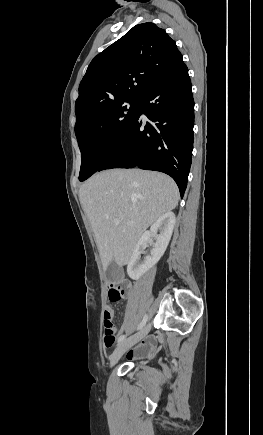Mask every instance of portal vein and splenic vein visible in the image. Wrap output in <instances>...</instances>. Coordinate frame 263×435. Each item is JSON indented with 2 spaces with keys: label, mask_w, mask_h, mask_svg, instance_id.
Returning a JSON list of instances; mask_svg holds the SVG:
<instances>
[{
  "label": "portal vein and splenic vein",
  "mask_w": 263,
  "mask_h": 435,
  "mask_svg": "<svg viewBox=\"0 0 263 435\" xmlns=\"http://www.w3.org/2000/svg\"><path fill=\"white\" fill-rule=\"evenodd\" d=\"M114 223H115V224H119L120 221H119L118 219H115V220H114ZM127 224L130 225V226H133V225H134L133 222H128Z\"/></svg>",
  "instance_id": "1"
}]
</instances>
